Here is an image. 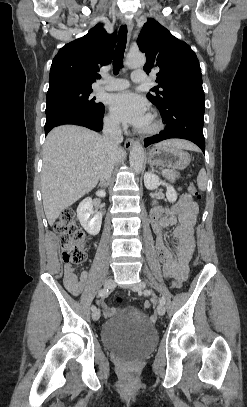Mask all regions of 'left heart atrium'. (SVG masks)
<instances>
[{
    "label": "left heart atrium",
    "mask_w": 247,
    "mask_h": 407,
    "mask_svg": "<svg viewBox=\"0 0 247 407\" xmlns=\"http://www.w3.org/2000/svg\"><path fill=\"white\" fill-rule=\"evenodd\" d=\"M107 104L115 119L123 124L143 128L149 121L148 103L130 91L111 95Z\"/></svg>",
    "instance_id": "obj_1"
}]
</instances>
